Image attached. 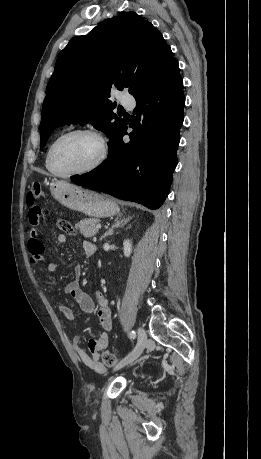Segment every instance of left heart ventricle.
Returning <instances> with one entry per match:
<instances>
[{
	"mask_svg": "<svg viewBox=\"0 0 261 459\" xmlns=\"http://www.w3.org/2000/svg\"><path fill=\"white\" fill-rule=\"evenodd\" d=\"M99 153L97 142L87 135H72L60 140L51 156V168L69 173L91 164Z\"/></svg>",
	"mask_w": 261,
	"mask_h": 459,
	"instance_id": "left-heart-ventricle-1",
	"label": "left heart ventricle"
}]
</instances>
